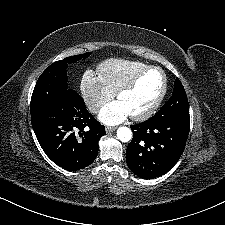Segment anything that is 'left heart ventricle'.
Masks as SVG:
<instances>
[{"label": "left heart ventricle", "mask_w": 225, "mask_h": 225, "mask_svg": "<svg viewBox=\"0 0 225 225\" xmlns=\"http://www.w3.org/2000/svg\"><path fill=\"white\" fill-rule=\"evenodd\" d=\"M162 87V75L156 70L147 71L136 86L123 94L118 101L129 115H138L146 111L154 102Z\"/></svg>", "instance_id": "1"}]
</instances>
